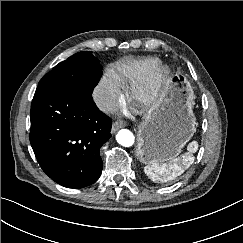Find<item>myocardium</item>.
<instances>
[{
  "label": "myocardium",
  "instance_id": "f54148a6",
  "mask_svg": "<svg viewBox=\"0 0 243 243\" xmlns=\"http://www.w3.org/2000/svg\"><path fill=\"white\" fill-rule=\"evenodd\" d=\"M171 73L168 65L158 62L142 80L130 88V101L140 109H153L159 103Z\"/></svg>",
  "mask_w": 243,
  "mask_h": 243
}]
</instances>
